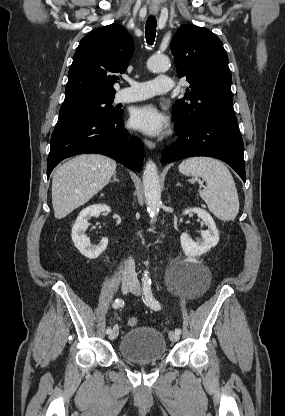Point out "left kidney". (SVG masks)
<instances>
[{
  "label": "left kidney",
  "mask_w": 285,
  "mask_h": 416,
  "mask_svg": "<svg viewBox=\"0 0 285 416\" xmlns=\"http://www.w3.org/2000/svg\"><path fill=\"white\" fill-rule=\"evenodd\" d=\"M191 212H195L198 218H201L205 222L208 230H201L202 242H194L189 234L184 232L180 236V244L183 252L188 254V256H201V254H206L211 248L217 246L219 234L212 216L206 210H202V208H189V210H184L183 214H191Z\"/></svg>",
  "instance_id": "5707ae66"
}]
</instances>
